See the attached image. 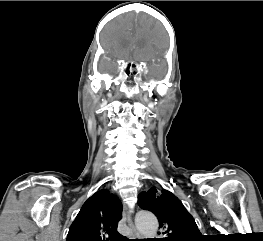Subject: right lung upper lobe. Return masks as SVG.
I'll list each match as a JSON object with an SVG mask.
<instances>
[{"mask_svg":"<svg viewBox=\"0 0 263 241\" xmlns=\"http://www.w3.org/2000/svg\"><path fill=\"white\" fill-rule=\"evenodd\" d=\"M122 204L102 189L86 200L70 226L66 241H128L117 232Z\"/></svg>","mask_w":263,"mask_h":241,"instance_id":"cb5924a9","label":"right lung upper lobe"}]
</instances>
